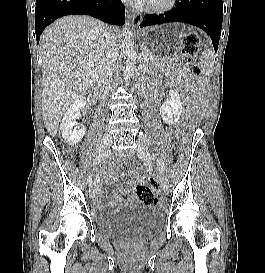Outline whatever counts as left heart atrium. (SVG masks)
<instances>
[{
	"label": "left heart atrium",
	"instance_id": "left-heart-atrium-1",
	"mask_svg": "<svg viewBox=\"0 0 265 273\" xmlns=\"http://www.w3.org/2000/svg\"><path fill=\"white\" fill-rule=\"evenodd\" d=\"M139 1H144V2H148V1H150V0H139Z\"/></svg>",
	"mask_w": 265,
	"mask_h": 273
}]
</instances>
